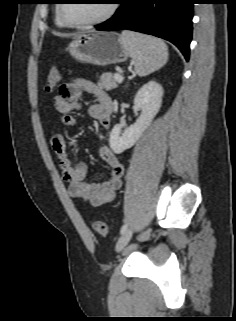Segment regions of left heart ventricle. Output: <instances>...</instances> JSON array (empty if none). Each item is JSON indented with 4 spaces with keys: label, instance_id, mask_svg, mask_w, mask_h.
Masks as SVG:
<instances>
[{
    "label": "left heart ventricle",
    "instance_id": "b2bd125f",
    "mask_svg": "<svg viewBox=\"0 0 236 321\" xmlns=\"http://www.w3.org/2000/svg\"><path fill=\"white\" fill-rule=\"evenodd\" d=\"M108 7V0H73L65 4L64 13L70 21L88 22L102 17Z\"/></svg>",
    "mask_w": 236,
    "mask_h": 321
}]
</instances>
